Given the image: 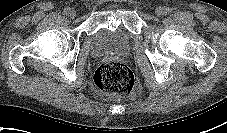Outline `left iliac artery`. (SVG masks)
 I'll return each mask as SVG.
<instances>
[{
  "mask_svg": "<svg viewBox=\"0 0 227 133\" xmlns=\"http://www.w3.org/2000/svg\"><path fill=\"white\" fill-rule=\"evenodd\" d=\"M164 9H165V14L171 12L170 8H168V7H165Z\"/></svg>",
  "mask_w": 227,
  "mask_h": 133,
  "instance_id": "1",
  "label": "left iliac artery"
}]
</instances>
